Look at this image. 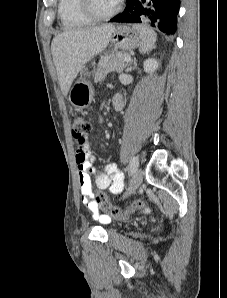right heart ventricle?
<instances>
[{
    "instance_id": "right-heart-ventricle-1",
    "label": "right heart ventricle",
    "mask_w": 227,
    "mask_h": 298,
    "mask_svg": "<svg viewBox=\"0 0 227 298\" xmlns=\"http://www.w3.org/2000/svg\"><path fill=\"white\" fill-rule=\"evenodd\" d=\"M58 14L65 29L86 27L92 23L82 12L80 0H59Z\"/></svg>"
}]
</instances>
